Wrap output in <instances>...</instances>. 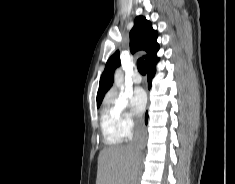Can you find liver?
Segmentation results:
<instances>
[{
  "label": "liver",
  "instance_id": "obj_1",
  "mask_svg": "<svg viewBox=\"0 0 235 184\" xmlns=\"http://www.w3.org/2000/svg\"><path fill=\"white\" fill-rule=\"evenodd\" d=\"M139 158L129 146H110L101 150L98 158L96 184H134Z\"/></svg>",
  "mask_w": 235,
  "mask_h": 184
}]
</instances>
